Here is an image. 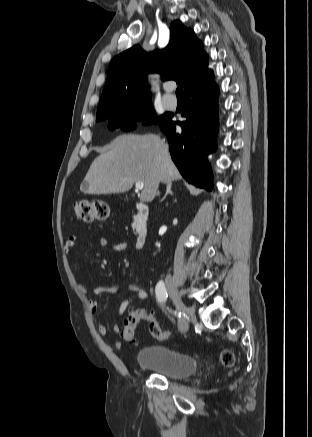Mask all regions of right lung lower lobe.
<instances>
[{"label":"right lung lower lobe","instance_id":"1","mask_svg":"<svg viewBox=\"0 0 312 437\" xmlns=\"http://www.w3.org/2000/svg\"><path fill=\"white\" fill-rule=\"evenodd\" d=\"M218 93L212 73L184 92L187 107L182 116L187 120L178 122L182 132L176 133L172 117L160 126L168 135L172 160L183 178L208 191L214 186L207 155L216 149Z\"/></svg>","mask_w":312,"mask_h":437}]
</instances>
